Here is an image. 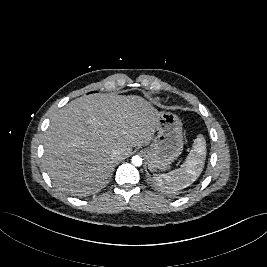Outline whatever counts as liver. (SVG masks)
Listing matches in <instances>:
<instances>
[{
  "instance_id": "obj_1",
  "label": "liver",
  "mask_w": 267,
  "mask_h": 267,
  "mask_svg": "<svg viewBox=\"0 0 267 267\" xmlns=\"http://www.w3.org/2000/svg\"><path fill=\"white\" fill-rule=\"evenodd\" d=\"M158 111L139 96L91 94L61 108L44 136L43 164L54 184L73 196L101 190L118 160L152 140Z\"/></svg>"
}]
</instances>
